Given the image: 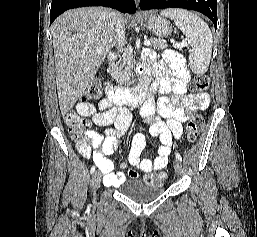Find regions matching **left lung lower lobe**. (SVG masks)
Returning <instances> with one entry per match:
<instances>
[{"mask_svg": "<svg viewBox=\"0 0 257 237\" xmlns=\"http://www.w3.org/2000/svg\"><path fill=\"white\" fill-rule=\"evenodd\" d=\"M185 8L203 13L217 28V0H141L140 9Z\"/></svg>", "mask_w": 257, "mask_h": 237, "instance_id": "1", "label": "left lung lower lobe"}]
</instances>
